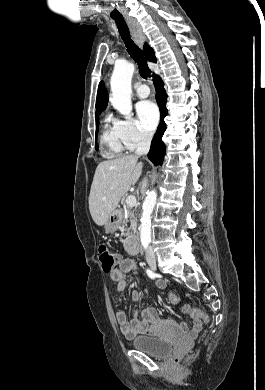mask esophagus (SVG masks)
Masks as SVG:
<instances>
[{"instance_id": "1", "label": "esophagus", "mask_w": 265, "mask_h": 390, "mask_svg": "<svg viewBox=\"0 0 265 390\" xmlns=\"http://www.w3.org/2000/svg\"><path fill=\"white\" fill-rule=\"evenodd\" d=\"M125 20L129 26L130 30H131V34H132V38H133L134 42L140 48H142L144 41H145V36L142 32L141 26L139 25V23L136 20H134L130 17H126Z\"/></svg>"}]
</instances>
